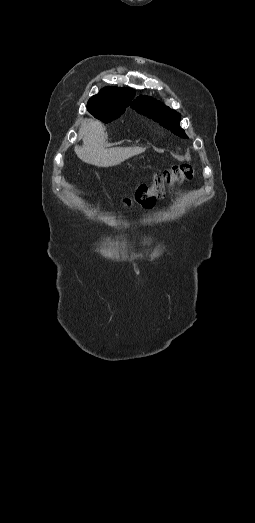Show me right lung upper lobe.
I'll use <instances>...</instances> for the list:
<instances>
[{
	"label": "right lung upper lobe",
	"mask_w": 255,
	"mask_h": 523,
	"mask_svg": "<svg viewBox=\"0 0 255 523\" xmlns=\"http://www.w3.org/2000/svg\"><path fill=\"white\" fill-rule=\"evenodd\" d=\"M135 95V91L129 88H117V87H105L100 90L98 95H94L88 101L87 107L98 105V104H108V103H118V102H128L132 100Z\"/></svg>",
	"instance_id": "obj_1"
}]
</instances>
